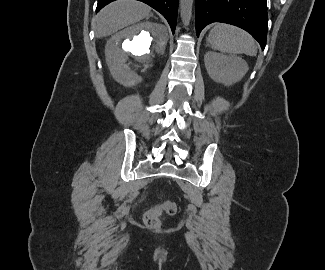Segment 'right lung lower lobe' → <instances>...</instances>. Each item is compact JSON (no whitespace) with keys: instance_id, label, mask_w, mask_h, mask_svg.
<instances>
[{"instance_id":"right-lung-lower-lobe-1","label":"right lung lower lobe","mask_w":325,"mask_h":270,"mask_svg":"<svg viewBox=\"0 0 325 270\" xmlns=\"http://www.w3.org/2000/svg\"><path fill=\"white\" fill-rule=\"evenodd\" d=\"M115 0H98V5L96 11L98 12L108 3ZM149 6L153 7L155 10L160 12L168 21L172 33L174 34L176 21H177V11H178V1L179 0H139Z\"/></svg>"}]
</instances>
